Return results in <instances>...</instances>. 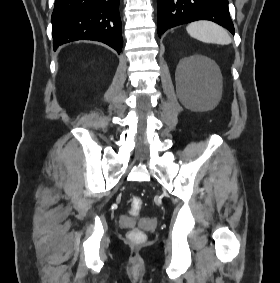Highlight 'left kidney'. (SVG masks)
<instances>
[{
  "label": "left kidney",
  "mask_w": 280,
  "mask_h": 283,
  "mask_svg": "<svg viewBox=\"0 0 280 283\" xmlns=\"http://www.w3.org/2000/svg\"><path fill=\"white\" fill-rule=\"evenodd\" d=\"M199 59H204V57L197 56V57L192 58V60H199Z\"/></svg>",
  "instance_id": "1"
}]
</instances>
